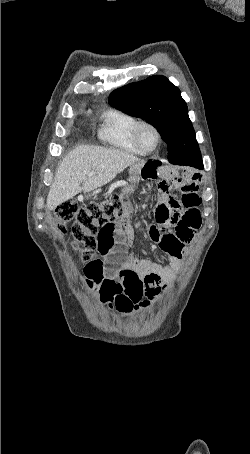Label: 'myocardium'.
Here are the masks:
<instances>
[{
    "mask_svg": "<svg viewBox=\"0 0 250 454\" xmlns=\"http://www.w3.org/2000/svg\"><path fill=\"white\" fill-rule=\"evenodd\" d=\"M144 127H148L150 128L154 134H155V137H156V143L155 145L151 148V149H147L144 147L142 141H141V138H140V133H141V130L144 128ZM133 138H134V141L136 143V145L144 152V153H153L154 151H156L158 149V147L160 146L161 144V141H162V136H161V132L160 130L158 129V127L150 122V121H147V120H140L137 122V124L135 125L134 127V131H133Z\"/></svg>",
    "mask_w": 250,
    "mask_h": 454,
    "instance_id": "obj_1",
    "label": "myocardium"
}]
</instances>
